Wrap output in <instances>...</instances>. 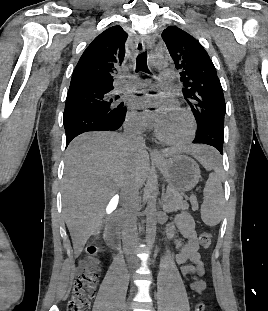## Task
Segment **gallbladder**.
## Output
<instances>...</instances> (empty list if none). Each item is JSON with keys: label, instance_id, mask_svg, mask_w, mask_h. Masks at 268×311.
I'll return each instance as SVG.
<instances>
[{"label": "gallbladder", "instance_id": "gallbladder-1", "mask_svg": "<svg viewBox=\"0 0 268 311\" xmlns=\"http://www.w3.org/2000/svg\"><path fill=\"white\" fill-rule=\"evenodd\" d=\"M106 205H107L105 209L106 212L112 213L114 208H118V206L121 205V200L120 199H108ZM97 236L100 238L102 235L99 233Z\"/></svg>", "mask_w": 268, "mask_h": 311}]
</instances>
